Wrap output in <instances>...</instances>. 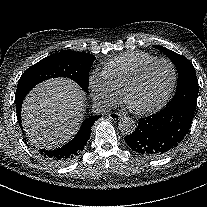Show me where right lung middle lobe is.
I'll list each match as a JSON object with an SVG mask.
<instances>
[{
    "label": "right lung middle lobe",
    "mask_w": 207,
    "mask_h": 207,
    "mask_svg": "<svg viewBox=\"0 0 207 207\" xmlns=\"http://www.w3.org/2000/svg\"><path fill=\"white\" fill-rule=\"evenodd\" d=\"M95 59L92 54L75 51H62L42 59L20 77L15 100L24 98L38 83L54 77L70 78L87 91L89 72Z\"/></svg>",
    "instance_id": "1"
}]
</instances>
